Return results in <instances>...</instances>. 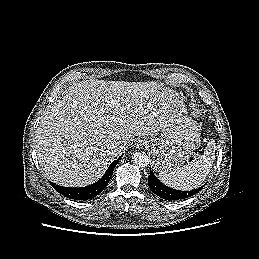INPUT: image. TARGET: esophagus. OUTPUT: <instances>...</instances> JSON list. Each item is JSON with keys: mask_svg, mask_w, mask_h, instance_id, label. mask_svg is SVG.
<instances>
[{"mask_svg": "<svg viewBox=\"0 0 259 259\" xmlns=\"http://www.w3.org/2000/svg\"><path fill=\"white\" fill-rule=\"evenodd\" d=\"M146 145V142L144 140H139L137 146L144 147Z\"/></svg>", "mask_w": 259, "mask_h": 259, "instance_id": "esophagus-1", "label": "esophagus"}]
</instances>
